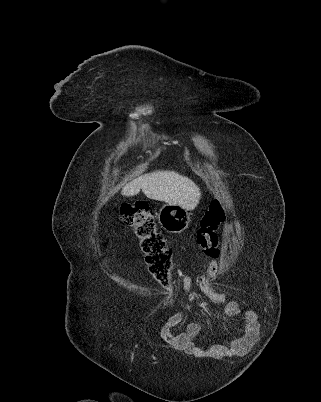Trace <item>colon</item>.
<instances>
[{"instance_id":"1","label":"colon","mask_w":321,"mask_h":402,"mask_svg":"<svg viewBox=\"0 0 321 402\" xmlns=\"http://www.w3.org/2000/svg\"><path fill=\"white\" fill-rule=\"evenodd\" d=\"M118 217L133 230L150 273L160 283L164 292H171L172 251L167 239L156 226L153 212L145 203L136 202L122 206L118 211ZM224 219L225 211L221 203L213 201L202 215L196 234L197 244L208 258L205 276L203 274L196 276L198 293L209 294L216 304L223 302V296L209 285L208 277L214 276L217 272V261L220 256L217 230Z\"/></svg>"}]
</instances>
